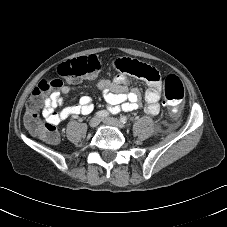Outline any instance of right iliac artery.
<instances>
[{
    "mask_svg": "<svg viewBox=\"0 0 227 227\" xmlns=\"http://www.w3.org/2000/svg\"><path fill=\"white\" fill-rule=\"evenodd\" d=\"M95 115L97 117L104 118V117H107L109 115V113L105 110H101V111L96 112Z\"/></svg>",
    "mask_w": 227,
    "mask_h": 227,
    "instance_id": "1",
    "label": "right iliac artery"
}]
</instances>
